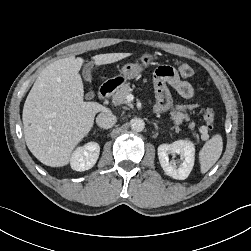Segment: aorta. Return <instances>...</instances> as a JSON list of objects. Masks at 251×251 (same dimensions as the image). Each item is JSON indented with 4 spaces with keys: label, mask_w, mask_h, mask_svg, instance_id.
I'll return each instance as SVG.
<instances>
[{
    "label": "aorta",
    "mask_w": 251,
    "mask_h": 251,
    "mask_svg": "<svg viewBox=\"0 0 251 251\" xmlns=\"http://www.w3.org/2000/svg\"><path fill=\"white\" fill-rule=\"evenodd\" d=\"M145 127V123L140 118H134L131 120V129L135 132H141Z\"/></svg>",
    "instance_id": "762f6f07"
}]
</instances>
